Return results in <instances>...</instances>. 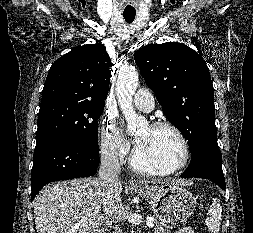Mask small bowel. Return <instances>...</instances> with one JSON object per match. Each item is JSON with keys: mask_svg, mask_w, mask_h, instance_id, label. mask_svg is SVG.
I'll use <instances>...</instances> for the list:
<instances>
[{"mask_svg": "<svg viewBox=\"0 0 253 233\" xmlns=\"http://www.w3.org/2000/svg\"><path fill=\"white\" fill-rule=\"evenodd\" d=\"M175 233H194L193 230L189 227H183L180 228L178 231H176Z\"/></svg>", "mask_w": 253, "mask_h": 233, "instance_id": "1", "label": "small bowel"}]
</instances>
